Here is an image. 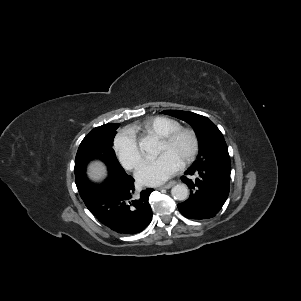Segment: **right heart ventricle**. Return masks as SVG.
Wrapping results in <instances>:
<instances>
[{
    "mask_svg": "<svg viewBox=\"0 0 301 301\" xmlns=\"http://www.w3.org/2000/svg\"><path fill=\"white\" fill-rule=\"evenodd\" d=\"M180 123L174 119L158 116L144 121L139 125L129 128L132 132L142 131L158 137H163L179 129Z\"/></svg>",
    "mask_w": 301,
    "mask_h": 301,
    "instance_id": "obj_1",
    "label": "right heart ventricle"
}]
</instances>
